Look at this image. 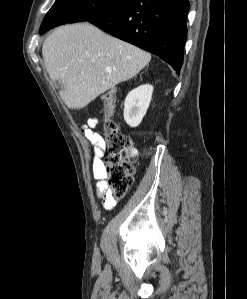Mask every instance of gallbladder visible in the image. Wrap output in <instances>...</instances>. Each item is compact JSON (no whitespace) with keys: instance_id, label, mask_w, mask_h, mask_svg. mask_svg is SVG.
<instances>
[{"instance_id":"bac80fb5","label":"gallbladder","mask_w":247,"mask_h":299,"mask_svg":"<svg viewBox=\"0 0 247 299\" xmlns=\"http://www.w3.org/2000/svg\"><path fill=\"white\" fill-rule=\"evenodd\" d=\"M58 86L60 89H64V84H63L62 80H58Z\"/></svg>"}]
</instances>
